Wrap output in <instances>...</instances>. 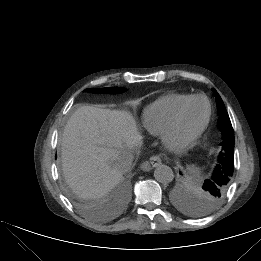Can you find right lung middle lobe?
Returning a JSON list of instances; mask_svg holds the SVG:
<instances>
[{
    "mask_svg": "<svg viewBox=\"0 0 261 261\" xmlns=\"http://www.w3.org/2000/svg\"><path fill=\"white\" fill-rule=\"evenodd\" d=\"M85 91L92 93H102V94H117L126 91V88L120 87H110V88H97V89H86Z\"/></svg>",
    "mask_w": 261,
    "mask_h": 261,
    "instance_id": "obj_1",
    "label": "right lung middle lobe"
}]
</instances>
